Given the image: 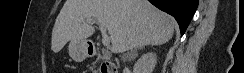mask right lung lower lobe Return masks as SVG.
I'll use <instances>...</instances> for the list:
<instances>
[{
  "instance_id": "1",
  "label": "right lung lower lobe",
  "mask_w": 244,
  "mask_h": 73,
  "mask_svg": "<svg viewBox=\"0 0 244 73\" xmlns=\"http://www.w3.org/2000/svg\"><path fill=\"white\" fill-rule=\"evenodd\" d=\"M153 5L172 15L178 22L181 35L187 29L196 9L198 0H148Z\"/></svg>"
}]
</instances>
